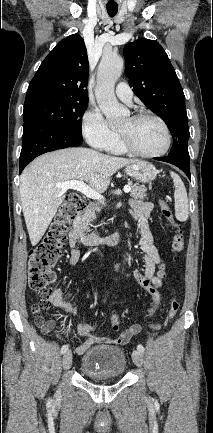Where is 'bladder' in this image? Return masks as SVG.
Listing matches in <instances>:
<instances>
[{"label": "bladder", "mask_w": 213, "mask_h": 433, "mask_svg": "<svg viewBox=\"0 0 213 433\" xmlns=\"http://www.w3.org/2000/svg\"><path fill=\"white\" fill-rule=\"evenodd\" d=\"M125 370V353L122 348L114 345L93 346L80 360V371L91 379L118 378Z\"/></svg>", "instance_id": "obj_1"}]
</instances>
